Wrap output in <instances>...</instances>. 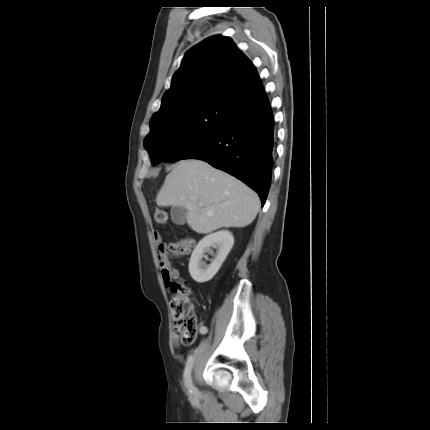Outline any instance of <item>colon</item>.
I'll return each instance as SVG.
<instances>
[{
  "instance_id": "5ec220e1",
  "label": "colon",
  "mask_w": 430,
  "mask_h": 430,
  "mask_svg": "<svg viewBox=\"0 0 430 430\" xmlns=\"http://www.w3.org/2000/svg\"><path fill=\"white\" fill-rule=\"evenodd\" d=\"M155 221L158 224H165L168 216L164 210H156L154 213ZM192 246L190 239H183L170 245H162L158 252H165L166 256H180L189 252ZM175 284L169 287L172 298L170 301L171 313L173 319V328L184 345H190L197 336V318L194 312L193 304L189 298V288L183 280L173 278Z\"/></svg>"
}]
</instances>
